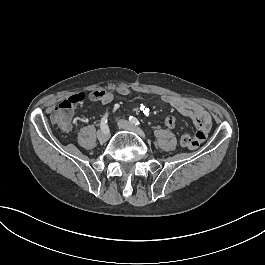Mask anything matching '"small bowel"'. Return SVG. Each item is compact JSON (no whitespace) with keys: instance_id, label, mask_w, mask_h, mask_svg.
Segmentation results:
<instances>
[{"instance_id":"c3829d8e","label":"small bowel","mask_w":265,"mask_h":265,"mask_svg":"<svg viewBox=\"0 0 265 265\" xmlns=\"http://www.w3.org/2000/svg\"><path fill=\"white\" fill-rule=\"evenodd\" d=\"M132 93H148V91L139 87L119 86L104 92L101 101L107 104L113 100L115 94L130 95ZM161 100L193 121L197 129L194 136L197 141H193L191 145L194 149H199L200 142L208 137L211 129L212 120L209 112L201 104L188 98L164 94L161 96ZM164 124L168 129H174L177 126V121L173 116L168 115Z\"/></svg>"}]
</instances>
